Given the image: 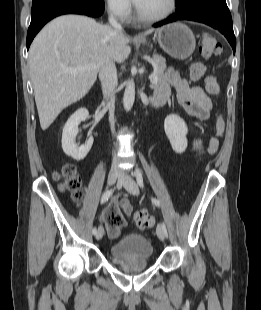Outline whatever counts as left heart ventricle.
I'll use <instances>...</instances> for the list:
<instances>
[{"instance_id": "obj_1", "label": "left heart ventricle", "mask_w": 261, "mask_h": 310, "mask_svg": "<svg viewBox=\"0 0 261 310\" xmlns=\"http://www.w3.org/2000/svg\"><path fill=\"white\" fill-rule=\"evenodd\" d=\"M169 0H141L137 5L141 13L147 16H154L167 9Z\"/></svg>"}]
</instances>
